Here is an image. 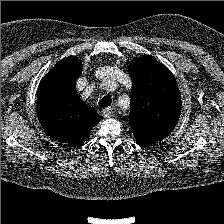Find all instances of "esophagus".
<instances>
[{"instance_id": "1", "label": "esophagus", "mask_w": 224, "mask_h": 224, "mask_svg": "<svg viewBox=\"0 0 224 224\" xmlns=\"http://www.w3.org/2000/svg\"><path fill=\"white\" fill-rule=\"evenodd\" d=\"M102 116H103L104 118H110V117H112V116H113V111H112V109H110V108H105V109H103V110H102Z\"/></svg>"}]
</instances>
